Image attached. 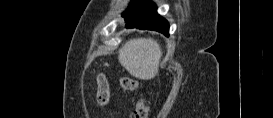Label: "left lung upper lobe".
Listing matches in <instances>:
<instances>
[{
	"mask_svg": "<svg viewBox=\"0 0 273 118\" xmlns=\"http://www.w3.org/2000/svg\"><path fill=\"white\" fill-rule=\"evenodd\" d=\"M157 14L156 5L150 0H134L122 14L126 23L145 21Z\"/></svg>",
	"mask_w": 273,
	"mask_h": 118,
	"instance_id": "5c2ea615",
	"label": "left lung upper lobe"
}]
</instances>
